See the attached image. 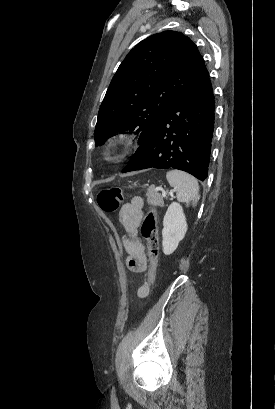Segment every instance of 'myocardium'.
Wrapping results in <instances>:
<instances>
[{
    "mask_svg": "<svg viewBox=\"0 0 275 409\" xmlns=\"http://www.w3.org/2000/svg\"><path fill=\"white\" fill-rule=\"evenodd\" d=\"M125 141V137L124 136H121V138H120V143H123Z\"/></svg>",
    "mask_w": 275,
    "mask_h": 409,
    "instance_id": "obj_1",
    "label": "myocardium"
}]
</instances>
